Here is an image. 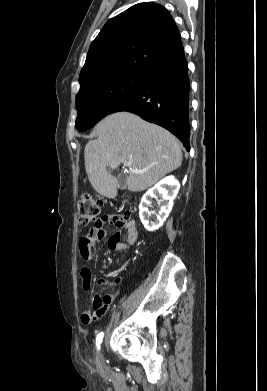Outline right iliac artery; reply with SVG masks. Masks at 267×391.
Wrapping results in <instances>:
<instances>
[{"label":"right iliac artery","mask_w":267,"mask_h":391,"mask_svg":"<svg viewBox=\"0 0 267 391\" xmlns=\"http://www.w3.org/2000/svg\"><path fill=\"white\" fill-rule=\"evenodd\" d=\"M103 336H104V334H103V332H101L98 334V336L96 338V345H97L98 349L100 348V344L102 342Z\"/></svg>","instance_id":"82829eb1"}]
</instances>
